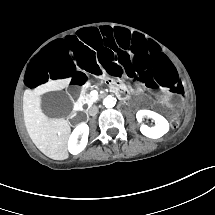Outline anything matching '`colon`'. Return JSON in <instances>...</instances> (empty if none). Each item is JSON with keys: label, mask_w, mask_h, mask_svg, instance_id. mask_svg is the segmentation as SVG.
Here are the masks:
<instances>
[{"label": "colon", "mask_w": 215, "mask_h": 215, "mask_svg": "<svg viewBox=\"0 0 215 215\" xmlns=\"http://www.w3.org/2000/svg\"><path fill=\"white\" fill-rule=\"evenodd\" d=\"M179 120L177 119V118H172V120H171V127L172 128H178L179 127Z\"/></svg>", "instance_id": "1"}]
</instances>
